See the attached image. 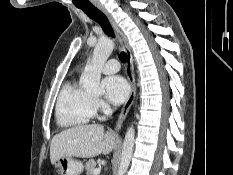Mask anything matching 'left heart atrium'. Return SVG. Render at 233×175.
Here are the masks:
<instances>
[{
  "label": "left heart atrium",
  "instance_id": "1",
  "mask_svg": "<svg viewBox=\"0 0 233 175\" xmlns=\"http://www.w3.org/2000/svg\"><path fill=\"white\" fill-rule=\"evenodd\" d=\"M103 85L106 97L115 104L124 102L129 95V85L121 76H109L103 80Z\"/></svg>",
  "mask_w": 233,
  "mask_h": 175
}]
</instances>
